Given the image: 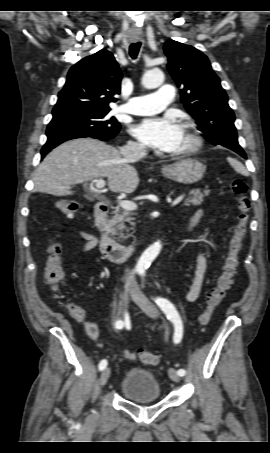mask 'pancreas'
Instances as JSON below:
<instances>
[{
  "label": "pancreas",
  "mask_w": 270,
  "mask_h": 453,
  "mask_svg": "<svg viewBox=\"0 0 270 453\" xmlns=\"http://www.w3.org/2000/svg\"><path fill=\"white\" fill-rule=\"evenodd\" d=\"M210 190H204L200 192L199 190H194L190 193V196L185 199L184 204L186 206H199L204 201L205 196H208ZM134 213L132 211L120 209L115 207L113 211V216L110 220L107 221L106 227L107 230L113 235H119L118 239L128 238L130 235L124 234V231L128 232L132 227H127L126 223L134 225L133 218Z\"/></svg>",
  "instance_id": "cf45deb5"
}]
</instances>
